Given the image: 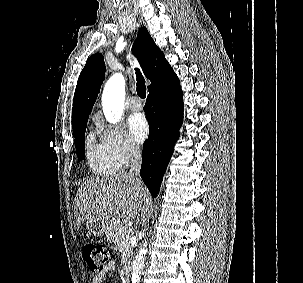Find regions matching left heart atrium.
I'll use <instances>...</instances> for the list:
<instances>
[{
  "mask_svg": "<svg viewBox=\"0 0 303 283\" xmlns=\"http://www.w3.org/2000/svg\"><path fill=\"white\" fill-rule=\"evenodd\" d=\"M129 129L132 137L137 142H143L149 134V125L146 117L141 114H134L129 119Z\"/></svg>",
  "mask_w": 303,
  "mask_h": 283,
  "instance_id": "obj_1",
  "label": "left heart atrium"
}]
</instances>
